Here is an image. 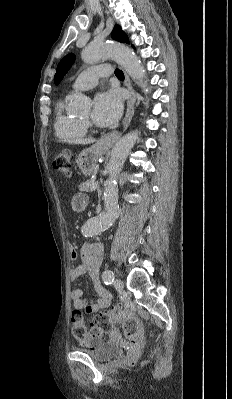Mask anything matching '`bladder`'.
<instances>
[{"instance_id": "bladder-1", "label": "bladder", "mask_w": 232, "mask_h": 399, "mask_svg": "<svg viewBox=\"0 0 232 399\" xmlns=\"http://www.w3.org/2000/svg\"><path fill=\"white\" fill-rule=\"evenodd\" d=\"M83 352L97 361H106L119 356L122 353V349L116 342L109 340Z\"/></svg>"}]
</instances>
